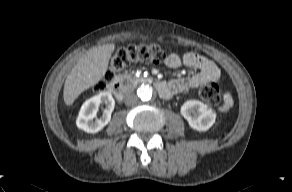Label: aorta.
<instances>
[{
  "label": "aorta",
  "instance_id": "aorta-1",
  "mask_svg": "<svg viewBox=\"0 0 292 192\" xmlns=\"http://www.w3.org/2000/svg\"><path fill=\"white\" fill-rule=\"evenodd\" d=\"M137 95L143 102L151 100L154 95L153 88L148 84H142L137 89Z\"/></svg>",
  "mask_w": 292,
  "mask_h": 192
}]
</instances>
